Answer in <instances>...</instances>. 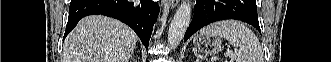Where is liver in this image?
Listing matches in <instances>:
<instances>
[{
  "label": "liver",
  "mask_w": 331,
  "mask_h": 62,
  "mask_svg": "<svg viewBox=\"0 0 331 62\" xmlns=\"http://www.w3.org/2000/svg\"><path fill=\"white\" fill-rule=\"evenodd\" d=\"M137 39L135 32L118 20L87 16L65 39L62 62H128Z\"/></svg>",
  "instance_id": "6515ba94"
}]
</instances>
